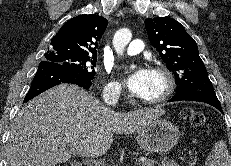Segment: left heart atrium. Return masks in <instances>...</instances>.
<instances>
[{
    "instance_id": "left-heart-atrium-1",
    "label": "left heart atrium",
    "mask_w": 231,
    "mask_h": 166,
    "mask_svg": "<svg viewBox=\"0 0 231 166\" xmlns=\"http://www.w3.org/2000/svg\"><path fill=\"white\" fill-rule=\"evenodd\" d=\"M152 71L147 68H140L131 73L125 83L132 94L142 97L150 84Z\"/></svg>"
}]
</instances>
